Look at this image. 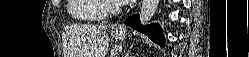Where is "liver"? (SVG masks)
<instances>
[{"mask_svg": "<svg viewBox=\"0 0 249 57\" xmlns=\"http://www.w3.org/2000/svg\"><path fill=\"white\" fill-rule=\"evenodd\" d=\"M106 29V25L67 26L64 34L71 57H105L109 50Z\"/></svg>", "mask_w": 249, "mask_h": 57, "instance_id": "1", "label": "liver"}]
</instances>
